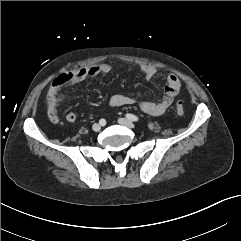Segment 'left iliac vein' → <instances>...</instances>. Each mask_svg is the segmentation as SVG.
Returning <instances> with one entry per match:
<instances>
[{
    "label": "left iliac vein",
    "instance_id": "left-iliac-vein-1",
    "mask_svg": "<svg viewBox=\"0 0 241 241\" xmlns=\"http://www.w3.org/2000/svg\"><path fill=\"white\" fill-rule=\"evenodd\" d=\"M118 123L123 125V126H126L128 128H133L134 127V124L133 122H131L130 120L126 119V118H120L118 120Z\"/></svg>",
    "mask_w": 241,
    "mask_h": 241
}]
</instances>
